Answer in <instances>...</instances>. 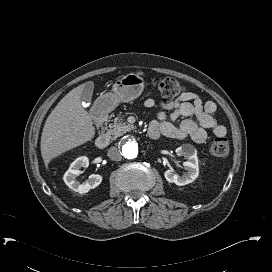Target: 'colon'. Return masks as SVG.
Returning <instances> with one entry per match:
<instances>
[{"label":"colon","instance_id":"obj_1","mask_svg":"<svg viewBox=\"0 0 272 272\" xmlns=\"http://www.w3.org/2000/svg\"><path fill=\"white\" fill-rule=\"evenodd\" d=\"M159 97L166 103L172 102L183 93V86L174 78L164 77L152 80ZM210 153L214 157L222 158L229 153V142L225 137H216L212 140L209 147Z\"/></svg>","mask_w":272,"mask_h":272}]
</instances>
